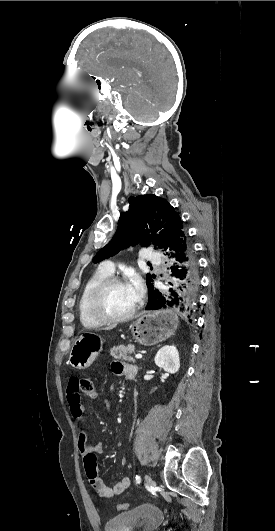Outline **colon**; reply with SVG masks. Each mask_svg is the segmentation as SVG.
<instances>
[{
    "label": "colon",
    "instance_id": "colon-1",
    "mask_svg": "<svg viewBox=\"0 0 275 531\" xmlns=\"http://www.w3.org/2000/svg\"><path fill=\"white\" fill-rule=\"evenodd\" d=\"M98 384L96 381H93L90 377H85V381H81L80 383V390L81 392H85V396L91 400V401H97L98 399ZM118 513H123L128 510V504L127 503H119L116 506Z\"/></svg>",
    "mask_w": 275,
    "mask_h": 531
}]
</instances>
